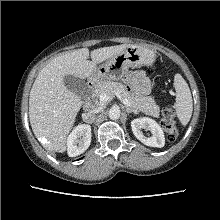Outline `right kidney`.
I'll return each instance as SVG.
<instances>
[{"label":"right kidney","mask_w":220,"mask_h":220,"mask_svg":"<svg viewBox=\"0 0 220 220\" xmlns=\"http://www.w3.org/2000/svg\"><path fill=\"white\" fill-rule=\"evenodd\" d=\"M91 143V126H76L67 138V152L70 157L84 153Z\"/></svg>","instance_id":"right-kidney-1"}]
</instances>
